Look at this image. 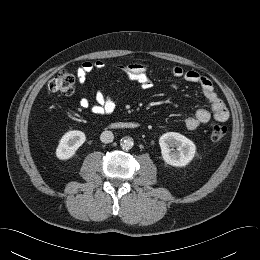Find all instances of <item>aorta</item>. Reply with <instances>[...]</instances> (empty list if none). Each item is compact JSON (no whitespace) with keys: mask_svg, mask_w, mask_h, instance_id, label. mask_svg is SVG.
Returning <instances> with one entry per match:
<instances>
[{"mask_svg":"<svg viewBox=\"0 0 260 260\" xmlns=\"http://www.w3.org/2000/svg\"><path fill=\"white\" fill-rule=\"evenodd\" d=\"M133 139L131 137H125L121 139L120 146L123 150H129L133 147Z\"/></svg>","mask_w":260,"mask_h":260,"instance_id":"762f6f07","label":"aorta"}]
</instances>
